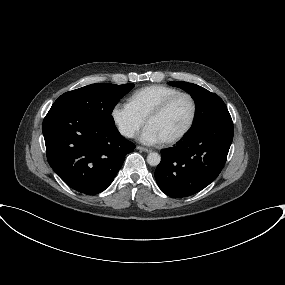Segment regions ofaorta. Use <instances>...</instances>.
<instances>
[{"mask_svg":"<svg viewBox=\"0 0 285 285\" xmlns=\"http://www.w3.org/2000/svg\"><path fill=\"white\" fill-rule=\"evenodd\" d=\"M160 161H161V156L156 152L149 153L147 156V162L151 166H157L160 163Z\"/></svg>","mask_w":285,"mask_h":285,"instance_id":"aorta-1","label":"aorta"}]
</instances>
